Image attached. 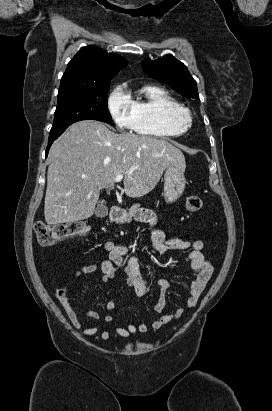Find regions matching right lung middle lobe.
<instances>
[{
	"label": "right lung middle lobe",
	"instance_id": "obj_1",
	"mask_svg": "<svg viewBox=\"0 0 272 411\" xmlns=\"http://www.w3.org/2000/svg\"><path fill=\"white\" fill-rule=\"evenodd\" d=\"M109 84L89 89L58 92V104L49 139L60 136L72 123L81 120H97L112 123L108 111Z\"/></svg>",
	"mask_w": 272,
	"mask_h": 411
}]
</instances>
